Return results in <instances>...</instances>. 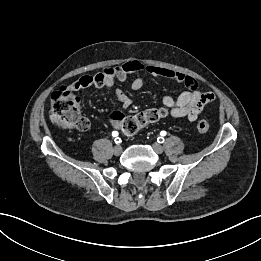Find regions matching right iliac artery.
<instances>
[{"mask_svg":"<svg viewBox=\"0 0 261 261\" xmlns=\"http://www.w3.org/2000/svg\"><path fill=\"white\" fill-rule=\"evenodd\" d=\"M112 135H113L114 137H116L115 140H114L116 144L121 143V138L117 137V136H118V132H117V131H113V132H112Z\"/></svg>","mask_w":261,"mask_h":261,"instance_id":"obj_1","label":"right iliac artery"}]
</instances>
